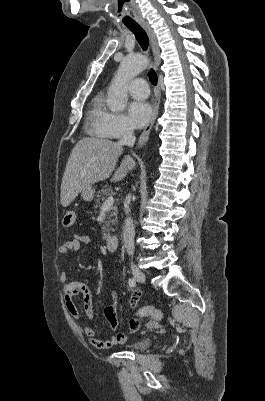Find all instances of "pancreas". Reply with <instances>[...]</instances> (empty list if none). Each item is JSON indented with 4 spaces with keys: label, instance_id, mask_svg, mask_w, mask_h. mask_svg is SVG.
<instances>
[{
    "label": "pancreas",
    "instance_id": "1",
    "mask_svg": "<svg viewBox=\"0 0 265 401\" xmlns=\"http://www.w3.org/2000/svg\"><path fill=\"white\" fill-rule=\"evenodd\" d=\"M112 194H113L112 186H108V184L102 186L101 190H97V194H95L94 209H101L102 205H104L106 196H112ZM117 211H118L117 207H111V209L107 211V215H105L107 221H105L102 227V235H103L102 239H108L109 231H112L111 225H115L117 221V219H111V217H116Z\"/></svg>",
    "mask_w": 265,
    "mask_h": 401
}]
</instances>
